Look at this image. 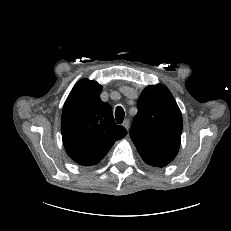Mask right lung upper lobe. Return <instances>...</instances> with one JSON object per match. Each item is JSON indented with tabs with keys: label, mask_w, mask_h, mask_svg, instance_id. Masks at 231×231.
<instances>
[{
	"label": "right lung upper lobe",
	"mask_w": 231,
	"mask_h": 231,
	"mask_svg": "<svg viewBox=\"0 0 231 231\" xmlns=\"http://www.w3.org/2000/svg\"><path fill=\"white\" fill-rule=\"evenodd\" d=\"M101 90L96 81L80 80L62 111L63 145L69 157L83 166L97 164L127 134L115 123L111 106L100 100Z\"/></svg>",
	"instance_id": "cb5924a9"
}]
</instances>
